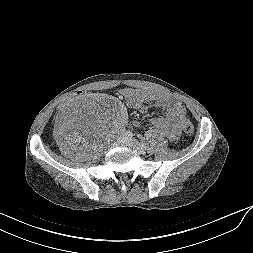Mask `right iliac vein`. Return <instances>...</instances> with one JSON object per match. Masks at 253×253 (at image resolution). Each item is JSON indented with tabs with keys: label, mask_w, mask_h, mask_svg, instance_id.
Here are the masks:
<instances>
[{
	"label": "right iliac vein",
	"mask_w": 253,
	"mask_h": 253,
	"mask_svg": "<svg viewBox=\"0 0 253 253\" xmlns=\"http://www.w3.org/2000/svg\"><path fill=\"white\" fill-rule=\"evenodd\" d=\"M125 138H126V137H125L124 135L119 136L114 144H115V145H120V144H122V143L124 142Z\"/></svg>",
	"instance_id": "right-iliac-vein-1"
}]
</instances>
